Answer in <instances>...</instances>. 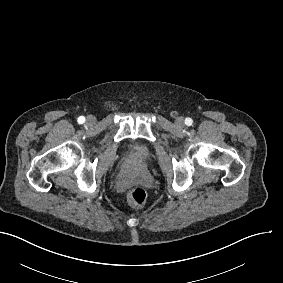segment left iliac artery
I'll use <instances>...</instances> for the list:
<instances>
[{
	"instance_id": "1",
	"label": "left iliac artery",
	"mask_w": 283,
	"mask_h": 283,
	"mask_svg": "<svg viewBox=\"0 0 283 283\" xmlns=\"http://www.w3.org/2000/svg\"><path fill=\"white\" fill-rule=\"evenodd\" d=\"M192 123H193V120H192L191 118H186V119H185V124H186L187 126H191Z\"/></svg>"
}]
</instances>
